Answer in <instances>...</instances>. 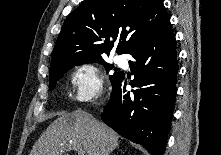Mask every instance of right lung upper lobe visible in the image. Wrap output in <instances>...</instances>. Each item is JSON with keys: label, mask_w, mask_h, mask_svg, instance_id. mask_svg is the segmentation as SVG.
Masks as SVG:
<instances>
[{"label": "right lung upper lobe", "mask_w": 221, "mask_h": 155, "mask_svg": "<svg viewBox=\"0 0 221 155\" xmlns=\"http://www.w3.org/2000/svg\"><path fill=\"white\" fill-rule=\"evenodd\" d=\"M169 23L161 0H84L62 26L50 71L102 59L113 48L129 54L145 35Z\"/></svg>", "instance_id": "1"}]
</instances>
